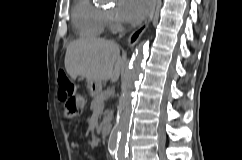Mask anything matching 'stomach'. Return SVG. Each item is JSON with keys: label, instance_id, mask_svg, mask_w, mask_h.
Segmentation results:
<instances>
[{"label": "stomach", "instance_id": "obj_1", "mask_svg": "<svg viewBox=\"0 0 242 160\" xmlns=\"http://www.w3.org/2000/svg\"><path fill=\"white\" fill-rule=\"evenodd\" d=\"M87 89L91 96H96L101 92V89H102L101 82L87 80Z\"/></svg>", "mask_w": 242, "mask_h": 160}]
</instances>
